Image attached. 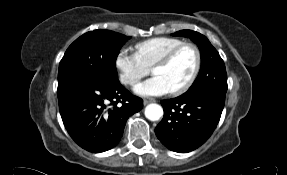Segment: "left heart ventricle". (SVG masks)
Instances as JSON below:
<instances>
[{
	"label": "left heart ventricle",
	"instance_id": "left-heart-ventricle-1",
	"mask_svg": "<svg viewBox=\"0 0 287 175\" xmlns=\"http://www.w3.org/2000/svg\"><path fill=\"white\" fill-rule=\"evenodd\" d=\"M196 64V55L192 48L182 49L168 64L154 69L153 74L160 76L170 91L181 87L191 76Z\"/></svg>",
	"mask_w": 287,
	"mask_h": 175
}]
</instances>
